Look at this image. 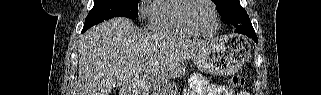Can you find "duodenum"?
I'll return each mask as SVG.
<instances>
[{
    "label": "duodenum",
    "instance_id": "duodenum-1",
    "mask_svg": "<svg viewBox=\"0 0 321 95\" xmlns=\"http://www.w3.org/2000/svg\"><path fill=\"white\" fill-rule=\"evenodd\" d=\"M136 94H143V93H136L133 92L131 89H123L121 95H136Z\"/></svg>",
    "mask_w": 321,
    "mask_h": 95
}]
</instances>
